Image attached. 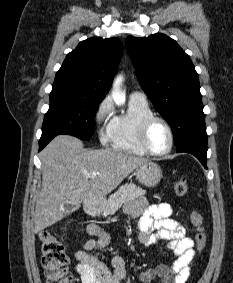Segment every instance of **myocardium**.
<instances>
[{
    "label": "myocardium",
    "instance_id": "obj_1",
    "mask_svg": "<svg viewBox=\"0 0 233 283\" xmlns=\"http://www.w3.org/2000/svg\"><path fill=\"white\" fill-rule=\"evenodd\" d=\"M156 121L161 122L166 127L169 133V138H170L169 146L167 147L166 150L162 152L153 151L147 143L148 130L150 126ZM136 138H137L138 145L141 147V149L146 154H149L152 156H164L172 150L173 145H174V132H173L171 125L165 118L155 115V114L148 115L139 122L137 126V131H136Z\"/></svg>",
    "mask_w": 233,
    "mask_h": 283
}]
</instances>
